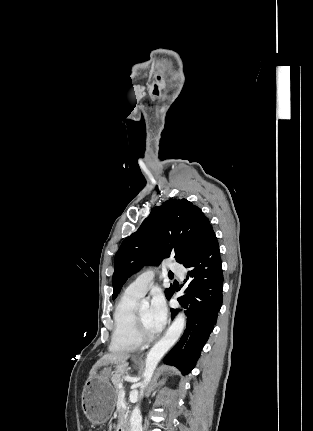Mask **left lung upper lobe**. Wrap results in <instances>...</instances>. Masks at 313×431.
<instances>
[{
	"instance_id": "1",
	"label": "left lung upper lobe",
	"mask_w": 313,
	"mask_h": 431,
	"mask_svg": "<svg viewBox=\"0 0 313 431\" xmlns=\"http://www.w3.org/2000/svg\"><path fill=\"white\" fill-rule=\"evenodd\" d=\"M209 226L201 209L186 199H170L155 207L139 229L122 242L115 255L112 298L145 265H159L170 255L181 264L187 262ZM172 291V287L166 289L167 298Z\"/></svg>"
}]
</instances>
